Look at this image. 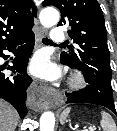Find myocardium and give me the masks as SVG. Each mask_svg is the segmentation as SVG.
Segmentation results:
<instances>
[{
  "label": "myocardium",
  "mask_w": 117,
  "mask_h": 131,
  "mask_svg": "<svg viewBox=\"0 0 117 131\" xmlns=\"http://www.w3.org/2000/svg\"><path fill=\"white\" fill-rule=\"evenodd\" d=\"M69 85L73 89H80L85 86V79L81 74L76 73L71 76L69 80Z\"/></svg>",
  "instance_id": "myocardium-1"
}]
</instances>
